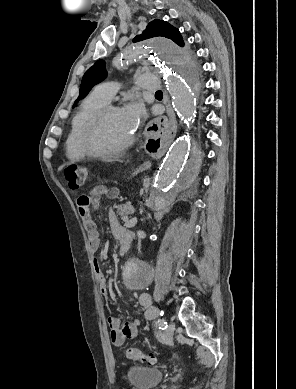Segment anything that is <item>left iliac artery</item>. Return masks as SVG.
Masks as SVG:
<instances>
[{"instance_id": "left-iliac-artery-1", "label": "left iliac artery", "mask_w": 296, "mask_h": 389, "mask_svg": "<svg viewBox=\"0 0 296 389\" xmlns=\"http://www.w3.org/2000/svg\"><path fill=\"white\" fill-rule=\"evenodd\" d=\"M156 325L158 326L159 329H162V330H165L167 328V322L164 321L163 319L156 320Z\"/></svg>"}]
</instances>
